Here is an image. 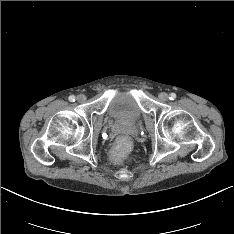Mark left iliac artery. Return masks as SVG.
Returning a JSON list of instances; mask_svg holds the SVG:
<instances>
[{
  "label": "left iliac artery",
  "instance_id": "1",
  "mask_svg": "<svg viewBox=\"0 0 234 234\" xmlns=\"http://www.w3.org/2000/svg\"><path fill=\"white\" fill-rule=\"evenodd\" d=\"M176 98V94L175 93H171L169 96V99L174 100Z\"/></svg>",
  "mask_w": 234,
  "mask_h": 234
}]
</instances>
